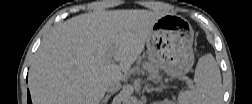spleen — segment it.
<instances>
[{
  "label": "spleen",
  "mask_w": 252,
  "mask_h": 104,
  "mask_svg": "<svg viewBox=\"0 0 252 104\" xmlns=\"http://www.w3.org/2000/svg\"><path fill=\"white\" fill-rule=\"evenodd\" d=\"M194 85L181 92L178 101L181 104H218L222 98L221 73L213 55L207 54L199 58Z\"/></svg>",
  "instance_id": "1"
}]
</instances>
